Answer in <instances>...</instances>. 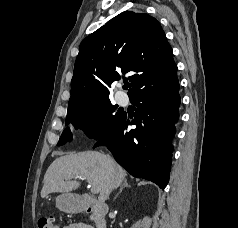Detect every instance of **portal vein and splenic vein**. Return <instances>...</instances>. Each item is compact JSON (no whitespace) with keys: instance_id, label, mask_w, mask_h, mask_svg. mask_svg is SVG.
Wrapping results in <instances>:
<instances>
[{"instance_id":"obj_1","label":"portal vein and splenic vein","mask_w":238,"mask_h":228,"mask_svg":"<svg viewBox=\"0 0 238 228\" xmlns=\"http://www.w3.org/2000/svg\"><path fill=\"white\" fill-rule=\"evenodd\" d=\"M82 179H86L89 182L88 178H82ZM90 191H91L92 194H98L99 193L98 189L94 185H92V184H91Z\"/></svg>"}]
</instances>
